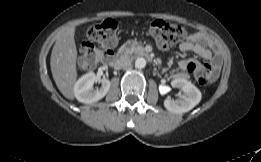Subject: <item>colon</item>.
<instances>
[{"label":"colon","mask_w":261,"mask_h":162,"mask_svg":"<svg viewBox=\"0 0 261 162\" xmlns=\"http://www.w3.org/2000/svg\"><path fill=\"white\" fill-rule=\"evenodd\" d=\"M118 22L115 19H105L93 24L87 31L89 42L82 47V60L89 67L95 66L102 59V51L111 49L117 39ZM150 33L160 47H171L184 38V29L172 22L156 20L150 26ZM195 79L202 86H208L213 76L205 65L193 64L190 68Z\"/></svg>","instance_id":"5ec220e1"}]
</instances>
